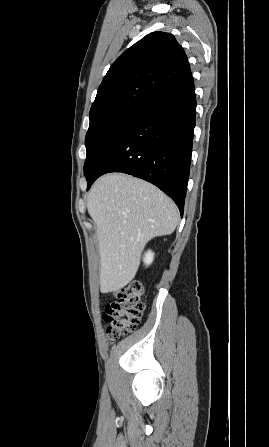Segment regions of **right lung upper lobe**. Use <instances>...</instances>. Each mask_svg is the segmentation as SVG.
I'll use <instances>...</instances> for the list:
<instances>
[{"instance_id": "obj_1", "label": "right lung upper lobe", "mask_w": 269, "mask_h": 447, "mask_svg": "<svg viewBox=\"0 0 269 447\" xmlns=\"http://www.w3.org/2000/svg\"><path fill=\"white\" fill-rule=\"evenodd\" d=\"M187 56L172 34L153 32L112 64L99 86L90 118L122 106H140L187 73Z\"/></svg>"}]
</instances>
